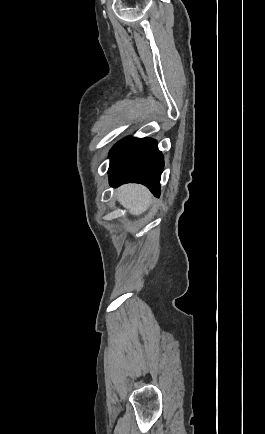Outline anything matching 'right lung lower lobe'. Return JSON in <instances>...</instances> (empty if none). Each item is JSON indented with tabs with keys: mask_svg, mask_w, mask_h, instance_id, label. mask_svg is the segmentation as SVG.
<instances>
[{
	"mask_svg": "<svg viewBox=\"0 0 265 434\" xmlns=\"http://www.w3.org/2000/svg\"><path fill=\"white\" fill-rule=\"evenodd\" d=\"M109 183L117 187L136 182L147 186L155 196L160 193L163 156L157 143L150 138H125L110 152Z\"/></svg>",
	"mask_w": 265,
	"mask_h": 434,
	"instance_id": "obj_1",
	"label": "right lung lower lobe"
}]
</instances>
